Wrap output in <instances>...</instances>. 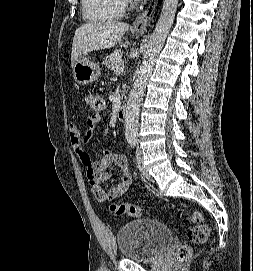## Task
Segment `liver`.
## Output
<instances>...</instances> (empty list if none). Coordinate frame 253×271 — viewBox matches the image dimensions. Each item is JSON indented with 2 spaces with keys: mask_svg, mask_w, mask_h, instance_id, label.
Here are the masks:
<instances>
[{
  "mask_svg": "<svg viewBox=\"0 0 253 271\" xmlns=\"http://www.w3.org/2000/svg\"><path fill=\"white\" fill-rule=\"evenodd\" d=\"M129 25L118 21L90 22L77 28L72 43L71 65L83 55L114 47Z\"/></svg>",
  "mask_w": 253,
  "mask_h": 271,
  "instance_id": "6515ba94",
  "label": "liver"
}]
</instances>
